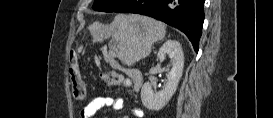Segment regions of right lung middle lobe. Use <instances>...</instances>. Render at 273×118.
Returning <instances> with one entry per match:
<instances>
[{"mask_svg": "<svg viewBox=\"0 0 273 118\" xmlns=\"http://www.w3.org/2000/svg\"><path fill=\"white\" fill-rule=\"evenodd\" d=\"M130 0H95L92 8L96 11L116 12Z\"/></svg>", "mask_w": 273, "mask_h": 118, "instance_id": "dd1d6c3e", "label": "right lung middle lobe"}]
</instances>
